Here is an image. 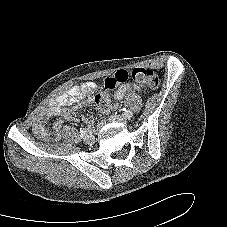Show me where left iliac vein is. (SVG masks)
<instances>
[{
    "label": "left iliac vein",
    "instance_id": "left-iliac-vein-1",
    "mask_svg": "<svg viewBox=\"0 0 227 227\" xmlns=\"http://www.w3.org/2000/svg\"><path fill=\"white\" fill-rule=\"evenodd\" d=\"M133 115L130 116H121V115H111L109 120L112 122L126 123L127 120L131 119Z\"/></svg>",
    "mask_w": 227,
    "mask_h": 227
}]
</instances>
